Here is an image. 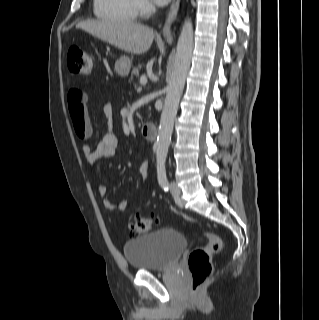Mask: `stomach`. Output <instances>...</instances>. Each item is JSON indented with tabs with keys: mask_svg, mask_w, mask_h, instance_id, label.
I'll return each mask as SVG.
<instances>
[{
	"mask_svg": "<svg viewBox=\"0 0 319 320\" xmlns=\"http://www.w3.org/2000/svg\"><path fill=\"white\" fill-rule=\"evenodd\" d=\"M132 61L127 56H121L115 63L114 71L120 77H127L131 69Z\"/></svg>",
	"mask_w": 319,
	"mask_h": 320,
	"instance_id": "0dacf381",
	"label": "stomach"
}]
</instances>
